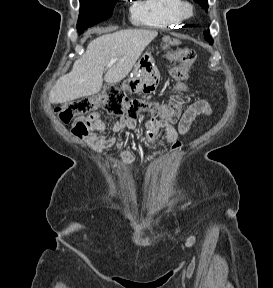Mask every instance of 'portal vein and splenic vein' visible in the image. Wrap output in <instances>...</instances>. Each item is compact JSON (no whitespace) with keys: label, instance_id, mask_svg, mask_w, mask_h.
<instances>
[{"label":"portal vein and splenic vein","instance_id":"obj_1","mask_svg":"<svg viewBox=\"0 0 273 288\" xmlns=\"http://www.w3.org/2000/svg\"><path fill=\"white\" fill-rule=\"evenodd\" d=\"M116 60H118V58H114V59L112 60V62H110V63L107 65V69H109Z\"/></svg>","mask_w":273,"mask_h":288}]
</instances>
